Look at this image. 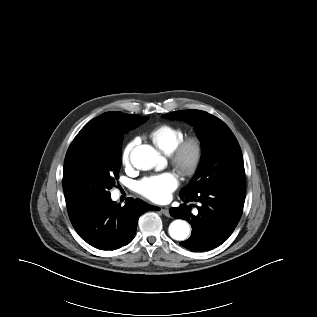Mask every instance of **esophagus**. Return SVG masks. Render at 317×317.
Wrapping results in <instances>:
<instances>
[{"label":"esophagus","mask_w":317,"mask_h":317,"mask_svg":"<svg viewBox=\"0 0 317 317\" xmlns=\"http://www.w3.org/2000/svg\"><path fill=\"white\" fill-rule=\"evenodd\" d=\"M161 213L166 217H170L169 209L168 208H161Z\"/></svg>","instance_id":"obj_1"}]
</instances>
